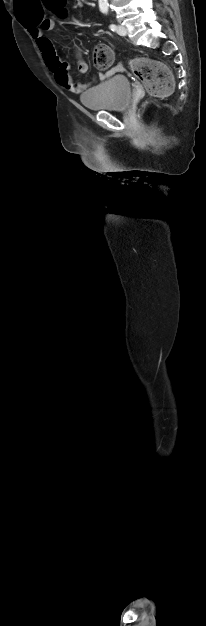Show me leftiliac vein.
Listing matches in <instances>:
<instances>
[{
	"instance_id": "obj_1",
	"label": "left iliac vein",
	"mask_w": 206,
	"mask_h": 626,
	"mask_svg": "<svg viewBox=\"0 0 206 626\" xmlns=\"http://www.w3.org/2000/svg\"><path fill=\"white\" fill-rule=\"evenodd\" d=\"M117 33H118L120 36H126V35H127V33H128V31H127V28H126L125 26L119 25V26L117 27Z\"/></svg>"
}]
</instances>
